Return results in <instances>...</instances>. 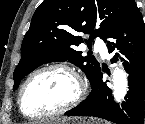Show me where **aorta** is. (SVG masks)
I'll return each instance as SVG.
<instances>
[{"label":"aorta","mask_w":145,"mask_h":124,"mask_svg":"<svg viewBox=\"0 0 145 124\" xmlns=\"http://www.w3.org/2000/svg\"><path fill=\"white\" fill-rule=\"evenodd\" d=\"M113 95L117 102L124 99L128 90V79L122 68H116L112 74Z\"/></svg>","instance_id":"obj_1"}]
</instances>
